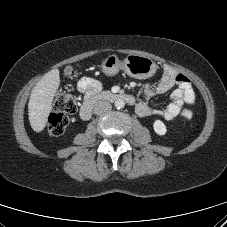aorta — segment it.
Instances as JSON below:
<instances>
[{"mask_svg": "<svg viewBox=\"0 0 227 227\" xmlns=\"http://www.w3.org/2000/svg\"><path fill=\"white\" fill-rule=\"evenodd\" d=\"M114 105L117 109H122L124 108L125 106V102L123 99H117L115 102H114Z\"/></svg>", "mask_w": 227, "mask_h": 227, "instance_id": "obj_1", "label": "aorta"}]
</instances>
